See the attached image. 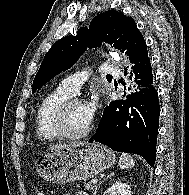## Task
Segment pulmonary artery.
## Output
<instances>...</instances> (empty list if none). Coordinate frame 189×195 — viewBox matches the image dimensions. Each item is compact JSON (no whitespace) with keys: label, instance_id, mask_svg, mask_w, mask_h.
Listing matches in <instances>:
<instances>
[{"label":"pulmonary artery","instance_id":"e3ab8cb5","mask_svg":"<svg viewBox=\"0 0 189 195\" xmlns=\"http://www.w3.org/2000/svg\"><path fill=\"white\" fill-rule=\"evenodd\" d=\"M103 66H109L108 64H103ZM109 72H113V70H108ZM105 72H103L104 74ZM87 76L82 73H75L65 79L61 82V87L65 89L68 93L74 95L76 94L81 85L86 81Z\"/></svg>","mask_w":189,"mask_h":195}]
</instances>
